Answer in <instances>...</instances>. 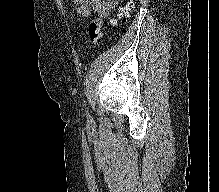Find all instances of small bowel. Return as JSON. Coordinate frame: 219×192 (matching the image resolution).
Listing matches in <instances>:
<instances>
[{
	"label": "small bowel",
	"instance_id": "c3829d8e",
	"mask_svg": "<svg viewBox=\"0 0 219 192\" xmlns=\"http://www.w3.org/2000/svg\"><path fill=\"white\" fill-rule=\"evenodd\" d=\"M78 6V13L82 17H88L96 13L101 18H106L110 11L114 10L118 0H72Z\"/></svg>",
	"mask_w": 219,
	"mask_h": 192
}]
</instances>
